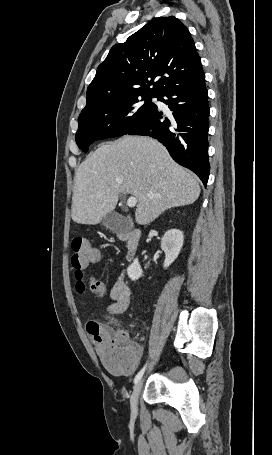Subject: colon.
I'll return each instance as SVG.
<instances>
[{
  "instance_id": "obj_1",
  "label": "colon",
  "mask_w": 272,
  "mask_h": 455,
  "mask_svg": "<svg viewBox=\"0 0 272 455\" xmlns=\"http://www.w3.org/2000/svg\"><path fill=\"white\" fill-rule=\"evenodd\" d=\"M71 263L77 270L75 287L80 295L90 294L94 298H102L105 287L102 282L89 278L84 270L101 260V251L92 246L84 237H76L71 244ZM87 332L96 348L102 364L113 372L126 371L133 364L136 357V347L128 340L113 335L101 327L97 322L87 324Z\"/></svg>"
}]
</instances>
